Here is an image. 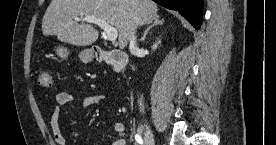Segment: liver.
Segmentation results:
<instances>
[{
    "label": "liver",
    "mask_w": 276,
    "mask_h": 145,
    "mask_svg": "<svg viewBox=\"0 0 276 145\" xmlns=\"http://www.w3.org/2000/svg\"><path fill=\"white\" fill-rule=\"evenodd\" d=\"M95 16L116 28L118 44L124 49L139 26L158 17L151 0H51L42 19V33L57 35L60 41L89 46L98 39L90 24H78L74 17Z\"/></svg>",
    "instance_id": "liver-1"
}]
</instances>
